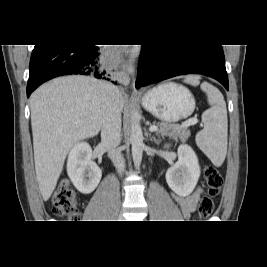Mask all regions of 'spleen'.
Masks as SVG:
<instances>
[{
  "label": "spleen",
  "instance_id": "obj_1",
  "mask_svg": "<svg viewBox=\"0 0 267 267\" xmlns=\"http://www.w3.org/2000/svg\"><path fill=\"white\" fill-rule=\"evenodd\" d=\"M185 82L194 86L199 85L196 77H188ZM201 89L206 93L211 108L203 112L204 128L196 134L195 140L200 150L219 167L223 164L227 153L226 103L222 93L210 83L203 82Z\"/></svg>",
  "mask_w": 267,
  "mask_h": 267
}]
</instances>
